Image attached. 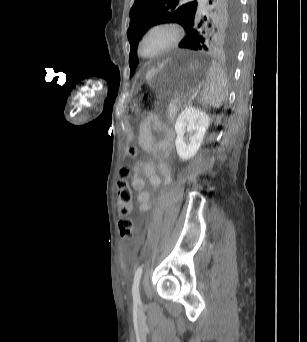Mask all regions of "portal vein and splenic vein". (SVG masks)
<instances>
[{
    "instance_id": "portal-vein-and-splenic-vein-1",
    "label": "portal vein and splenic vein",
    "mask_w": 307,
    "mask_h": 342,
    "mask_svg": "<svg viewBox=\"0 0 307 342\" xmlns=\"http://www.w3.org/2000/svg\"><path fill=\"white\" fill-rule=\"evenodd\" d=\"M199 91L198 89L196 90L195 88L192 90V91H188L184 97L182 98V101L179 103L181 106H187L189 103L188 102H191L193 101V95H197L198 93L197 92ZM196 92V93H195ZM188 101V102H187Z\"/></svg>"
}]
</instances>
